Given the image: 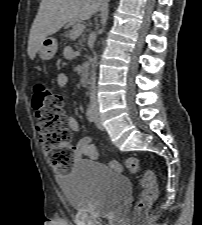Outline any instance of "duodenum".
Returning a JSON list of instances; mask_svg holds the SVG:
<instances>
[{"instance_id":"obj_1","label":"duodenum","mask_w":202,"mask_h":225,"mask_svg":"<svg viewBox=\"0 0 202 225\" xmlns=\"http://www.w3.org/2000/svg\"><path fill=\"white\" fill-rule=\"evenodd\" d=\"M90 80L89 65L84 63L81 68V81L83 84H88Z\"/></svg>"}]
</instances>
